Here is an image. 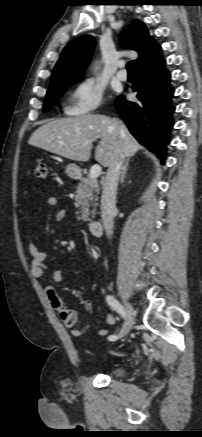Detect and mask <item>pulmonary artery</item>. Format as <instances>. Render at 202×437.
Wrapping results in <instances>:
<instances>
[{
    "label": "pulmonary artery",
    "mask_w": 202,
    "mask_h": 437,
    "mask_svg": "<svg viewBox=\"0 0 202 437\" xmlns=\"http://www.w3.org/2000/svg\"><path fill=\"white\" fill-rule=\"evenodd\" d=\"M118 67H119V70L117 71L116 75H117V77L120 80L125 81L127 79V77H128V74H127L126 70L123 69L124 68V62H120L118 64Z\"/></svg>",
    "instance_id": "obj_1"
}]
</instances>
